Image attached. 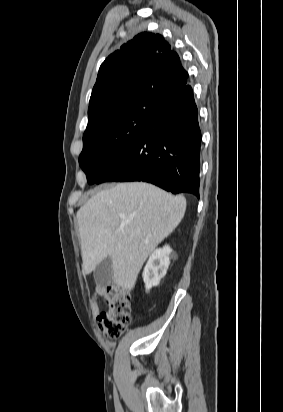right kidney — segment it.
<instances>
[{
    "label": "right kidney",
    "instance_id": "obj_1",
    "mask_svg": "<svg viewBox=\"0 0 283 412\" xmlns=\"http://www.w3.org/2000/svg\"><path fill=\"white\" fill-rule=\"evenodd\" d=\"M172 249L165 245L163 248L156 249L149 257L143 271V280L146 291L153 286H157L160 280L166 275L170 264V254Z\"/></svg>",
    "mask_w": 283,
    "mask_h": 412
}]
</instances>
